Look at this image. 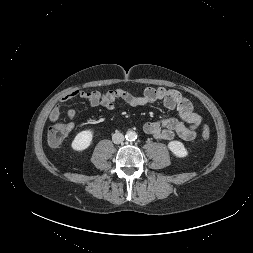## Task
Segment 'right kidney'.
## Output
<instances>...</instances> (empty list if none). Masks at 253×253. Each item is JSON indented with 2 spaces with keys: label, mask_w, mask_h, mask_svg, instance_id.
Segmentation results:
<instances>
[{
  "label": "right kidney",
  "mask_w": 253,
  "mask_h": 253,
  "mask_svg": "<svg viewBox=\"0 0 253 253\" xmlns=\"http://www.w3.org/2000/svg\"><path fill=\"white\" fill-rule=\"evenodd\" d=\"M93 133L94 131L92 129L79 132L72 141L71 147L76 151L87 149L92 142Z\"/></svg>",
  "instance_id": "ca27d5eb"
}]
</instances>
